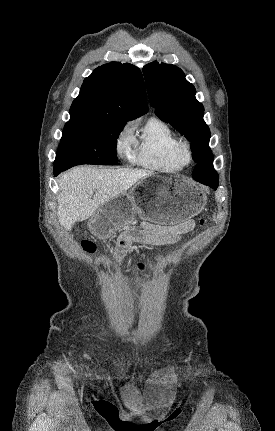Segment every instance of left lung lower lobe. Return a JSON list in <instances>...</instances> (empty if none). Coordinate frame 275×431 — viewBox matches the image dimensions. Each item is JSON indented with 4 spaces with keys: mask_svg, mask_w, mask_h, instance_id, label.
<instances>
[{
    "mask_svg": "<svg viewBox=\"0 0 275 431\" xmlns=\"http://www.w3.org/2000/svg\"><path fill=\"white\" fill-rule=\"evenodd\" d=\"M193 179H195L196 181L210 186L211 188H213L214 190L217 189L219 183L214 181V175L212 173H202V174H192Z\"/></svg>",
    "mask_w": 275,
    "mask_h": 431,
    "instance_id": "0a47b994",
    "label": "left lung lower lobe"
}]
</instances>
